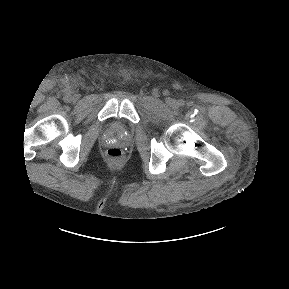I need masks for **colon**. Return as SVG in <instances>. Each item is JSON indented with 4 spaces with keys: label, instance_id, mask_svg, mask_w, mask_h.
I'll return each instance as SVG.
<instances>
[{
    "label": "colon",
    "instance_id": "obj_1",
    "mask_svg": "<svg viewBox=\"0 0 289 289\" xmlns=\"http://www.w3.org/2000/svg\"><path fill=\"white\" fill-rule=\"evenodd\" d=\"M107 157L115 163L120 162L123 159V151L119 147H110L106 151Z\"/></svg>",
    "mask_w": 289,
    "mask_h": 289
}]
</instances>
